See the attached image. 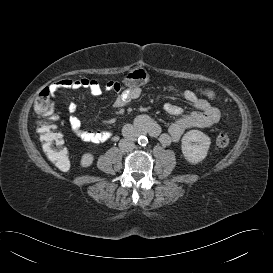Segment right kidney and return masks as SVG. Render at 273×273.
<instances>
[{
  "label": "right kidney",
  "instance_id": "obj_1",
  "mask_svg": "<svg viewBox=\"0 0 273 273\" xmlns=\"http://www.w3.org/2000/svg\"><path fill=\"white\" fill-rule=\"evenodd\" d=\"M93 162V155L90 154V153H85L83 156H82V160H81V164L84 166V167H88L92 164Z\"/></svg>",
  "mask_w": 273,
  "mask_h": 273
}]
</instances>
